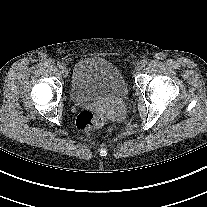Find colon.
I'll list each match as a JSON object with an SVG mask.
<instances>
[{
	"mask_svg": "<svg viewBox=\"0 0 207 207\" xmlns=\"http://www.w3.org/2000/svg\"><path fill=\"white\" fill-rule=\"evenodd\" d=\"M75 123L79 129L87 131L103 126L106 123V117L101 113L84 110L77 115Z\"/></svg>",
	"mask_w": 207,
	"mask_h": 207,
	"instance_id": "5ec220e1",
	"label": "colon"
}]
</instances>
